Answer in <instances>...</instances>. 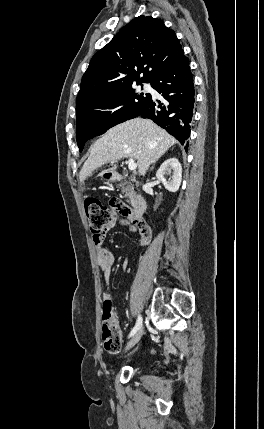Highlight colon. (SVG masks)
<instances>
[{
    "label": "colon",
    "mask_w": 264,
    "mask_h": 429,
    "mask_svg": "<svg viewBox=\"0 0 264 429\" xmlns=\"http://www.w3.org/2000/svg\"><path fill=\"white\" fill-rule=\"evenodd\" d=\"M84 207L89 229L95 239H99L105 233L113 210H118L123 215L131 213L128 206L119 200L112 201L110 207H108L99 199L88 198L85 200ZM102 341L104 348L109 352H116L121 347V328L118 319L114 315L110 300L105 301L103 304Z\"/></svg>",
    "instance_id": "5ec220e1"
}]
</instances>
